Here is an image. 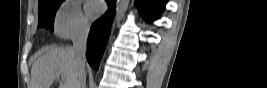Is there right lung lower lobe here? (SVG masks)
Instances as JSON below:
<instances>
[{"label": "right lung lower lobe", "mask_w": 267, "mask_h": 88, "mask_svg": "<svg viewBox=\"0 0 267 88\" xmlns=\"http://www.w3.org/2000/svg\"><path fill=\"white\" fill-rule=\"evenodd\" d=\"M108 2H115V0H107ZM114 14V5L103 17L97 20L91 27V31L87 40L86 57L89 64L98 70L100 60L104 53L112 23V16Z\"/></svg>", "instance_id": "right-lung-lower-lobe-1"}]
</instances>
